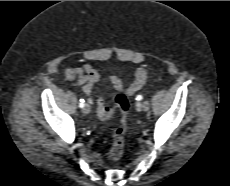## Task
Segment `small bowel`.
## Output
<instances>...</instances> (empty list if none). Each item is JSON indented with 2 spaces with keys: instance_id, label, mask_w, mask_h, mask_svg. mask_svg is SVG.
<instances>
[{
  "instance_id": "obj_1",
  "label": "small bowel",
  "mask_w": 230,
  "mask_h": 186,
  "mask_svg": "<svg viewBox=\"0 0 230 186\" xmlns=\"http://www.w3.org/2000/svg\"><path fill=\"white\" fill-rule=\"evenodd\" d=\"M64 75L67 80L74 81L75 85L80 87L86 95H91L94 84L100 81V73L90 64H84L78 68L67 67L64 70ZM113 86L116 90H127L129 88L124 87L121 79H119V84H113Z\"/></svg>"
}]
</instances>
